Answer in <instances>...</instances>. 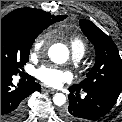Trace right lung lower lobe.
<instances>
[{
    "label": "right lung lower lobe",
    "instance_id": "1",
    "mask_svg": "<svg viewBox=\"0 0 122 122\" xmlns=\"http://www.w3.org/2000/svg\"><path fill=\"white\" fill-rule=\"evenodd\" d=\"M13 75L1 69V122H21L26 114V98L41 89L33 77L13 88Z\"/></svg>",
    "mask_w": 122,
    "mask_h": 122
}]
</instances>
